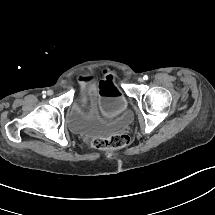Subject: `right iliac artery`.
Instances as JSON below:
<instances>
[{"label": "right iliac artery", "instance_id": "1", "mask_svg": "<svg viewBox=\"0 0 215 215\" xmlns=\"http://www.w3.org/2000/svg\"><path fill=\"white\" fill-rule=\"evenodd\" d=\"M42 93L44 94L43 96H45L46 92H45V91H43Z\"/></svg>", "mask_w": 215, "mask_h": 215}]
</instances>
